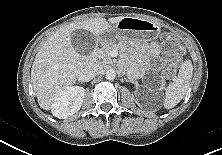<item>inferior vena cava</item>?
<instances>
[{"mask_svg":"<svg viewBox=\"0 0 222 155\" xmlns=\"http://www.w3.org/2000/svg\"><path fill=\"white\" fill-rule=\"evenodd\" d=\"M102 70V66L99 64H89L86 67H84L80 73V78L83 81H90L93 79L95 76L100 74Z\"/></svg>","mask_w":222,"mask_h":155,"instance_id":"602c4592","label":"inferior vena cava"}]
</instances>
